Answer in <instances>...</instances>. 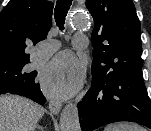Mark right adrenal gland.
Returning a JSON list of instances; mask_svg holds the SVG:
<instances>
[{
    "label": "right adrenal gland",
    "mask_w": 151,
    "mask_h": 131,
    "mask_svg": "<svg viewBox=\"0 0 151 131\" xmlns=\"http://www.w3.org/2000/svg\"><path fill=\"white\" fill-rule=\"evenodd\" d=\"M37 128L39 129V131H44V129H43L42 126H38V125H37Z\"/></svg>",
    "instance_id": "2a0ac1e0"
}]
</instances>
